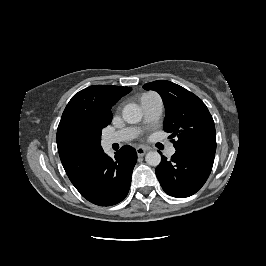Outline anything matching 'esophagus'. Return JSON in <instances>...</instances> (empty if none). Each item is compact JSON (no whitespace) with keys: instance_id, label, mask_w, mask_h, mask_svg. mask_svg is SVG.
Here are the masks:
<instances>
[{"instance_id":"34e87169","label":"esophagus","mask_w":266,"mask_h":266,"mask_svg":"<svg viewBox=\"0 0 266 266\" xmlns=\"http://www.w3.org/2000/svg\"><path fill=\"white\" fill-rule=\"evenodd\" d=\"M147 151H148V149L144 148V147H137L136 148V152H137L138 156H144Z\"/></svg>"}]
</instances>
